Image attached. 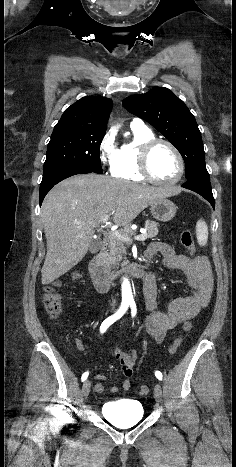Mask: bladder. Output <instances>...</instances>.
<instances>
[{
  "instance_id": "31cf9c89",
  "label": "bladder",
  "mask_w": 236,
  "mask_h": 467,
  "mask_svg": "<svg viewBox=\"0 0 236 467\" xmlns=\"http://www.w3.org/2000/svg\"><path fill=\"white\" fill-rule=\"evenodd\" d=\"M102 415L117 427H127L140 422L144 409L140 401L119 399L106 402L101 408Z\"/></svg>"
}]
</instances>
